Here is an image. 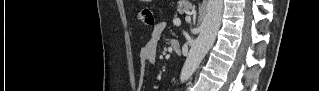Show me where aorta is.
Segmentation results:
<instances>
[{
	"label": "aorta",
	"instance_id": "obj_1",
	"mask_svg": "<svg viewBox=\"0 0 319 91\" xmlns=\"http://www.w3.org/2000/svg\"><path fill=\"white\" fill-rule=\"evenodd\" d=\"M223 0H208L199 35L191 44L190 51L180 74V82L190 79L201 61L213 46L221 25Z\"/></svg>",
	"mask_w": 319,
	"mask_h": 91
}]
</instances>
